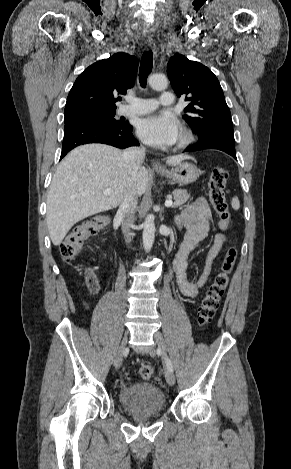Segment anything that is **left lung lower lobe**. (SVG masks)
<instances>
[{
  "mask_svg": "<svg viewBox=\"0 0 291 469\" xmlns=\"http://www.w3.org/2000/svg\"><path fill=\"white\" fill-rule=\"evenodd\" d=\"M203 149H218L236 158L234 136L228 134H212L199 139L196 145L188 147L185 152Z\"/></svg>",
  "mask_w": 291,
  "mask_h": 469,
  "instance_id": "0a47b994",
  "label": "left lung lower lobe"
}]
</instances>
